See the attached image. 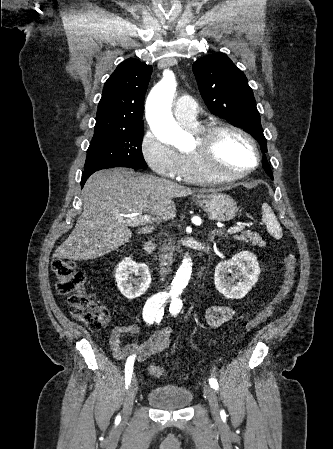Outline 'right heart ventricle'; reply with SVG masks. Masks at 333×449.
Masks as SVG:
<instances>
[{
  "label": "right heart ventricle",
  "instance_id": "right-heart-ventricle-1",
  "mask_svg": "<svg viewBox=\"0 0 333 449\" xmlns=\"http://www.w3.org/2000/svg\"><path fill=\"white\" fill-rule=\"evenodd\" d=\"M193 130H198L193 127ZM180 154V171L179 179L191 183H212L216 182L208 177L202 170L196 156L191 152H182Z\"/></svg>",
  "mask_w": 333,
  "mask_h": 449
}]
</instances>
